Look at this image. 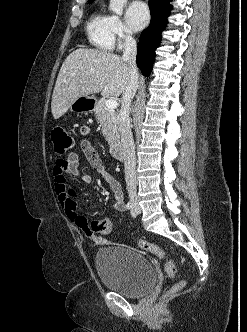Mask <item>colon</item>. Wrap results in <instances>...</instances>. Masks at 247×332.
I'll list each match as a JSON object with an SVG mask.
<instances>
[{"mask_svg":"<svg viewBox=\"0 0 247 332\" xmlns=\"http://www.w3.org/2000/svg\"><path fill=\"white\" fill-rule=\"evenodd\" d=\"M51 137L54 145V150L59 156L68 154L74 148L73 138L65 129L61 127L53 129ZM91 228L94 232L108 234L113 231L114 224L107 219H97L92 222ZM136 244L140 249L148 251L161 259H165L166 272L172 278L177 277V274L179 272V264L174 259L169 258L168 253L163 248L154 243L144 240H136ZM184 285V280L177 279L173 286L169 289L167 294L170 295L181 290Z\"/></svg>","mask_w":247,"mask_h":332,"instance_id":"5ec220e1","label":"colon"}]
</instances>
